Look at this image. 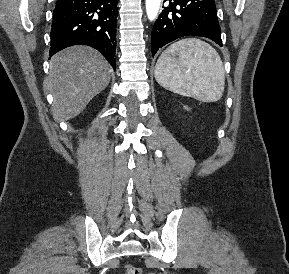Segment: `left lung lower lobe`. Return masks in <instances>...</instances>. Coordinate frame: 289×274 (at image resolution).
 Returning <instances> with one entry per match:
<instances>
[{"mask_svg": "<svg viewBox=\"0 0 289 274\" xmlns=\"http://www.w3.org/2000/svg\"><path fill=\"white\" fill-rule=\"evenodd\" d=\"M169 5L156 20L152 35V55L184 36H201L222 46L221 31L214 0H164Z\"/></svg>", "mask_w": 289, "mask_h": 274, "instance_id": "left-lung-lower-lobe-1", "label": "left lung lower lobe"}]
</instances>
